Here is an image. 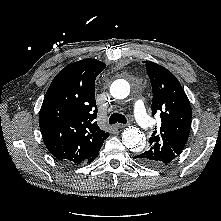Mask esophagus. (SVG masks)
<instances>
[{
  "label": "esophagus",
  "mask_w": 221,
  "mask_h": 221,
  "mask_svg": "<svg viewBox=\"0 0 221 221\" xmlns=\"http://www.w3.org/2000/svg\"><path fill=\"white\" fill-rule=\"evenodd\" d=\"M125 126H126L125 124H120V123L115 124V127L118 129L124 128Z\"/></svg>",
  "instance_id": "34e87169"
}]
</instances>
